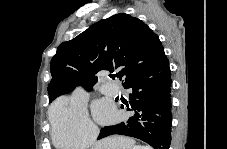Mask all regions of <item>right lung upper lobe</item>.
<instances>
[{"instance_id":"right-lung-upper-lobe-1","label":"right lung upper lobe","mask_w":227,"mask_h":149,"mask_svg":"<svg viewBox=\"0 0 227 149\" xmlns=\"http://www.w3.org/2000/svg\"><path fill=\"white\" fill-rule=\"evenodd\" d=\"M157 34L138 18L120 13L91 25L74 39L63 42L51 60L49 99L83 85L91 90L102 70H119L125 81L165 58Z\"/></svg>"}]
</instances>
